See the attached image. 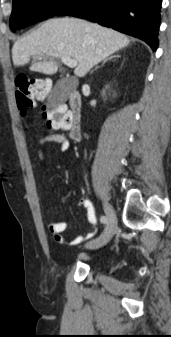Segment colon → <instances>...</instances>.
<instances>
[{"label": "colon", "mask_w": 171, "mask_h": 337, "mask_svg": "<svg viewBox=\"0 0 171 337\" xmlns=\"http://www.w3.org/2000/svg\"><path fill=\"white\" fill-rule=\"evenodd\" d=\"M16 103L20 112L25 113L34 105V99L44 97V102H49V98L54 97V92L50 90V84L41 77L20 75L15 81ZM53 107H62V100H53ZM43 118L48 119L47 126L50 130H65L69 126V117L62 109L52 110L51 106L42 107Z\"/></svg>", "instance_id": "obj_1"}]
</instances>
